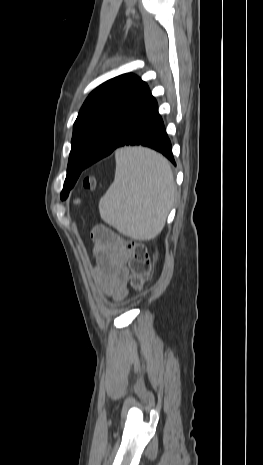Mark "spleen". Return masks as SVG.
<instances>
[{"instance_id": "obj_1", "label": "spleen", "mask_w": 263, "mask_h": 465, "mask_svg": "<svg viewBox=\"0 0 263 465\" xmlns=\"http://www.w3.org/2000/svg\"><path fill=\"white\" fill-rule=\"evenodd\" d=\"M115 157L114 182L100 199V216L128 237L155 238L164 227L175 193L170 164L141 147L119 149Z\"/></svg>"}]
</instances>
